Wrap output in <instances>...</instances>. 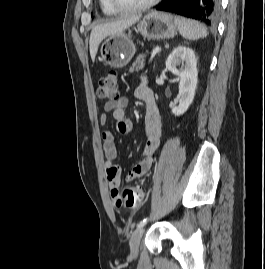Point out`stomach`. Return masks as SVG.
I'll return each mask as SVG.
<instances>
[{"instance_id": "obj_1", "label": "stomach", "mask_w": 265, "mask_h": 269, "mask_svg": "<svg viewBox=\"0 0 265 269\" xmlns=\"http://www.w3.org/2000/svg\"><path fill=\"white\" fill-rule=\"evenodd\" d=\"M140 33L147 39H168L177 33V24L172 15L152 11L137 24ZM136 52L131 31L109 35L101 45V59L108 65L120 68L126 66Z\"/></svg>"}]
</instances>
